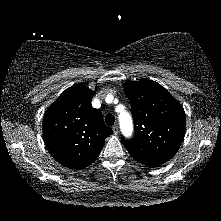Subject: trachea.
Instances as JSON below:
<instances>
[{
	"label": "trachea",
	"mask_w": 221,
	"mask_h": 221,
	"mask_svg": "<svg viewBox=\"0 0 221 221\" xmlns=\"http://www.w3.org/2000/svg\"><path fill=\"white\" fill-rule=\"evenodd\" d=\"M106 124L112 126L115 122V117L112 114H107L105 117Z\"/></svg>",
	"instance_id": "obj_1"
}]
</instances>
